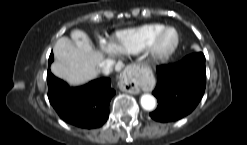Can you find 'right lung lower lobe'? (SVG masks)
<instances>
[{"label":"right lung lower lobe","instance_id":"obj_1","mask_svg":"<svg viewBox=\"0 0 247 145\" xmlns=\"http://www.w3.org/2000/svg\"><path fill=\"white\" fill-rule=\"evenodd\" d=\"M53 54L49 57V65ZM48 98L58 115L67 123L81 128L102 126L109 116V103L115 91L109 78H100L85 86L71 88L47 72Z\"/></svg>","mask_w":247,"mask_h":145}]
</instances>
